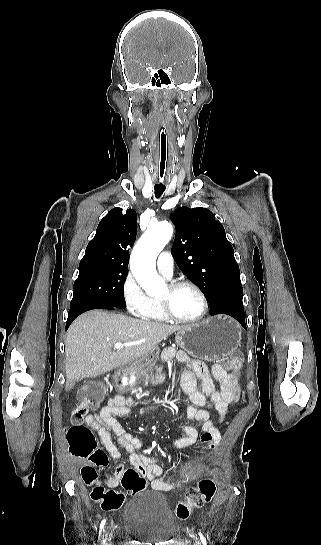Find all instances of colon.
Wrapping results in <instances>:
<instances>
[{
	"mask_svg": "<svg viewBox=\"0 0 321 545\" xmlns=\"http://www.w3.org/2000/svg\"><path fill=\"white\" fill-rule=\"evenodd\" d=\"M241 364V358L234 352L230 353L225 360V366L229 374L235 378L238 377L241 371ZM104 393V386L96 382L85 385L78 393L79 403L71 413L70 426L67 428L70 451L76 456L91 459L102 454L95 436L84 424V420L90 410H94L100 405ZM121 484L126 491L131 493H138L146 488L145 479L134 469L124 471ZM215 491L216 486L211 479H201L196 486L186 491L184 499L178 503L176 507L178 518L186 519L194 510L210 502L215 495ZM90 496L105 511L117 510L125 501L123 493L113 489H106L103 486H95Z\"/></svg>",
	"mask_w": 321,
	"mask_h": 545,
	"instance_id": "obj_1",
	"label": "colon"
}]
</instances>
